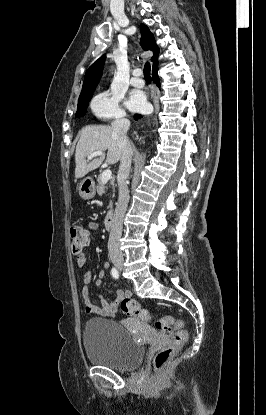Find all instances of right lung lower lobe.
<instances>
[{
  "mask_svg": "<svg viewBox=\"0 0 266 415\" xmlns=\"http://www.w3.org/2000/svg\"><path fill=\"white\" fill-rule=\"evenodd\" d=\"M152 79L156 83V85L158 87H160V80H159V77H158V69L152 73ZM134 118H135V120H138V119L142 118V116L139 115V114H136Z\"/></svg>",
  "mask_w": 266,
  "mask_h": 415,
  "instance_id": "right-lung-lower-lobe-1",
  "label": "right lung lower lobe"
}]
</instances>
